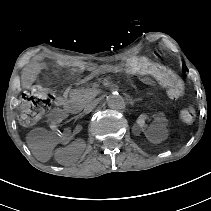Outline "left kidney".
<instances>
[{
	"mask_svg": "<svg viewBox=\"0 0 211 211\" xmlns=\"http://www.w3.org/2000/svg\"><path fill=\"white\" fill-rule=\"evenodd\" d=\"M167 123V116L164 113H157L154 116V121L147 124V119L144 116H139L136 119L135 129L142 135H147L149 132L159 131L165 128Z\"/></svg>",
	"mask_w": 211,
	"mask_h": 211,
	"instance_id": "5707ae66",
	"label": "left kidney"
}]
</instances>
